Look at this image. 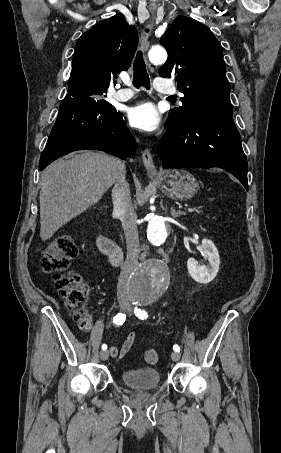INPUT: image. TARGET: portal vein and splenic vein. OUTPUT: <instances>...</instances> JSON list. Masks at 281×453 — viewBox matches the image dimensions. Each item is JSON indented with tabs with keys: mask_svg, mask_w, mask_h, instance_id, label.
<instances>
[{
	"mask_svg": "<svg viewBox=\"0 0 281 453\" xmlns=\"http://www.w3.org/2000/svg\"><path fill=\"white\" fill-rule=\"evenodd\" d=\"M178 207H179V208H182V205H179ZM181 210H182L183 212H192V213H193V212H197V211H198V208H197V207H193V206H192V207H188V206L186 205V206L183 207ZM200 212H201V213H205L206 211H205V210H201Z\"/></svg>",
	"mask_w": 281,
	"mask_h": 453,
	"instance_id": "18ae733b",
	"label": "portal vein and splenic vein"
}]
</instances>
